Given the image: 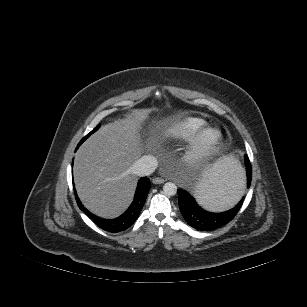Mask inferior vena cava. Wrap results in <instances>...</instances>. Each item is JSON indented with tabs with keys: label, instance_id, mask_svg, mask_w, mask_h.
Here are the masks:
<instances>
[{
	"label": "inferior vena cava",
	"instance_id": "602c4592",
	"mask_svg": "<svg viewBox=\"0 0 307 307\" xmlns=\"http://www.w3.org/2000/svg\"><path fill=\"white\" fill-rule=\"evenodd\" d=\"M157 166L158 161L153 155H144L135 162L132 171L138 176H148L155 171Z\"/></svg>",
	"mask_w": 307,
	"mask_h": 307
}]
</instances>
